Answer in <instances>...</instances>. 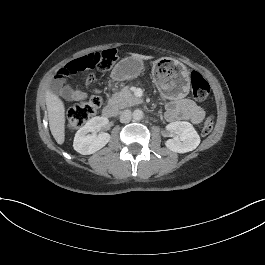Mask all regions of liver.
Wrapping results in <instances>:
<instances>
[{"instance_id": "6515ba94", "label": "liver", "mask_w": 265, "mask_h": 265, "mask_svg": "<svg viewBox=\"0 0 265 265\" xmlns=\"http://www.w3.org/2000/svg\"><path fill=\"white\" fill-rule=\"evenodd\" d=\"M136 60L148 61L153 59V56H146L137 53L125 52ZM46 107L48 112V122L50 132L59 146L65 142V125H66V112L63 100L55 94L52 90L46 91Z\"/></svg>"}]
</instances>
